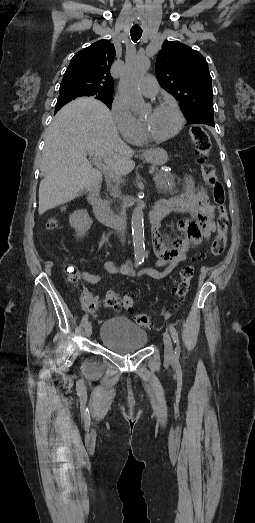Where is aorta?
I'll return each instance as SVG.
<instances>
[{
    "label": "aorta",
    "mask_w": 255,
    "mask_h": 523,
    "mask_svg": "<svg viewBox=\"0 0 255 523\" xmlns=\"http://www.w3.org/2000/svg\"><path fill=\"white\" fill-rule=\"evenodd\" d=\"M149 67L150 60L148 58L136 57L126 63L120 79V93L130 110L137 114L145 110V102L139 92L138 85L142 77L147 73ZM131 226L134 257L135 260L141 261L145 257L144 215L141 206H137L133 210Z\"/></svg>",
    "instance_id": "aorta-1"
}]
</instances>
